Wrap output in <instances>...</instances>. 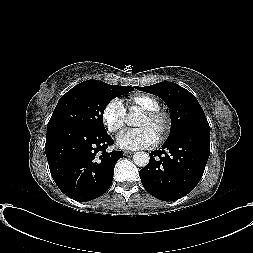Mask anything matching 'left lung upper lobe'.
Segmentation results:
<instances>
[{
    "label": "left lung upper lobe",
    "mask_w": 253,
    "mask_h": 253,
    "mask_svg": "<svg viewBox=\"0 0 253 253\" xmlns=\"http://www.w3.org/2000/svg\"><path fill=\"white\" fill-rule=\"evenodd\" d=\"M136 89L154 94L165 101L172 119L169 138L187 130L210 132L202 107L195 96L185 88L173 82H160L151 86L136 87Z\"/></svg>",
    "instance_id": "obj_1"
}]
</instances>
